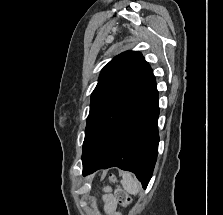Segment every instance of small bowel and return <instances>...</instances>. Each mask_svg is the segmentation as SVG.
<instances>
[{
  "mask_svg": "<svg viewBox=\"0 0 223 215\" xmlns=\"http://www.w3.org/2000/svg\"><path fill=\"white\" fill-rule=\"evenodd\" d=\"M104 201H105V206H106V209L108 210V212L113 213L114 215H120L119 213H116L114 211L115 201L113 200V198L110 195H106L104 198Z\"/></svg>",
  "mask_w": 223,
  "mask_h": 215,
  "instance_id": "c3829d8e",
  "label": "small bowel"
}]
</instances>
